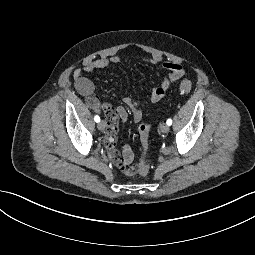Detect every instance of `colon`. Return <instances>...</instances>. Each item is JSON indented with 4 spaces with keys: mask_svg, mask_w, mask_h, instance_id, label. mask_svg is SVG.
I'll return each instance as SVG.
<instances>
[{
    "mask_svg": "<svg viewBox=\"0 0 255 255\" xmlns=\"http://www.w3.org/2000/svg\"><path fill=\"white\" fill-rule=\"evenodd\" d=\"M191 88H192V83L189 80H183L179 84V91L181 93H188L190 92ZM150 129H151L150 123L141 124L139 127V136H140L141 148L143 153H145L148 148ZM148 171H149V167L144 157H142L138 164V172L140 175L145 176L147 175Z\"/></svg>",
    "mask_w": 255,
    "mask_h": 255,
    "instance_id": "colon-1",
    "label": "colon"
}]
</instances>
